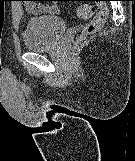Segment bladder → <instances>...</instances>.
<instances>
[{"mask_svg": "<svg viewBox=\"0 0 135 161\" xmlns=\"http://www.w3.org/2000/svg\"><path fill=\"white\" fill-rule=\"evenodd\" d=\"M65 30L66 25L61 17H31L22 34L24 46L34 52L52 49Z\"/></svg>", "mask_w": 135, "mask_h": 161, "instance_id": "bladder-1", "label": "bladder"}]
</instances>
